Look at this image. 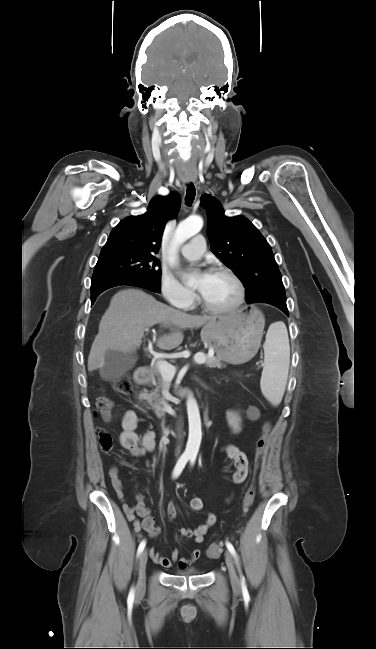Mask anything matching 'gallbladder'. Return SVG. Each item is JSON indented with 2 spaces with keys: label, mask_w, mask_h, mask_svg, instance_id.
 Listing matches in <instances>:
<instances>
[{
  "label": "gallbladder",
  "mask_w": 376,
  "mask_h": 649,
  "mask_svg": "<svg viewBox=\"0 0 376 649\" xmlns=\"http://www.w3.org/2000/svg\"><path fill=\"white\" fill-rule=\"evenodd\" d=\"M137 360L134 352H121L107 350L105 353L104 365L99 369L104 380L117 379L131 369Z\"/></svg>",
  "instance_id": "1"
}]
</instances>
